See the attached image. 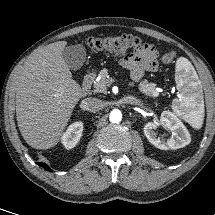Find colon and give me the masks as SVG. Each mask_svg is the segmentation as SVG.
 <instances>
[{
    "label": "colon",
    "mask_w": 215,
    "mask_h": 215,
    "mask_svg": "<svg viewBox=\"0 0 215 215\" xmlns=\"http://www.w3.org/2000/svg\"><path fill=\"white\" fill-rule=\"evenodd\" d=\"M86 44L94 50L104 51L112 54H127L131 49H138L143 45L142 40L134 35L122 34L111 37H91L86 40ZM174 52H167L162 56V62L171 64L175 59Z\"/></svg>",
    "instance_id": "1"
}]
</instances>
